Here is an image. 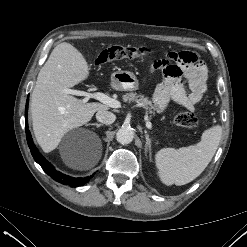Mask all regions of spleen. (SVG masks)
I'll use <instances>...</instances> for the list:
<instances>
[{
  "instance_id": "1",
  "label": "spleen",
  "mask_w": 247,
  "mask_h": 247,
  "mask_svg": "<svg viewBox=\"0 0 247 247\" xmlns=\"http://www.w3.org/2000/svg\"><path fill=\"white\" fill-rule=\"evenodd\" d=\"M221 135L222 127L216 125L205 130L196 145L159 150L155 154V165L162 183L181 186L197 178L212 160Z\"/></svg>"
}]
</instances>
